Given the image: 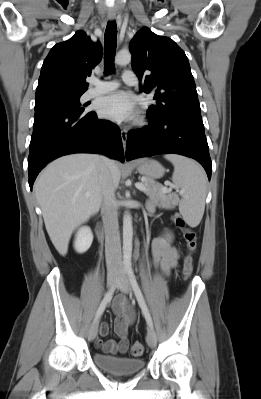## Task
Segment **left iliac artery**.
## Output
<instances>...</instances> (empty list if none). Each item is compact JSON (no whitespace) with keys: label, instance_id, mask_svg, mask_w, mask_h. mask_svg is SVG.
Returning <instances> with one entry per match:
<instances>
[{"label":"left iliac artery","instance_id":"44dca946","mask_svg":"<svg viewBox=\"0 0 261 399\" xmlns=\"http://www.w3.org/2000/svg\"><path fill=\"white\" fill-rule=\"evenodd\" d=\"M128 275H129V279H130L133 291L135 293L136 299H137L138 304H139V306H140V308H141V310L143 312V315H144V317H145V319L147 321V324L150 327H153V322H152L151 315L149 313L148 307H147L146 302L144 300L142 291H141V289H140V287H139V285L137 283V280L135 278L134 272H133V270L131 268L128 269Z\"/></svg>","mask_w":261,"mask_h":399}]
</instances>
